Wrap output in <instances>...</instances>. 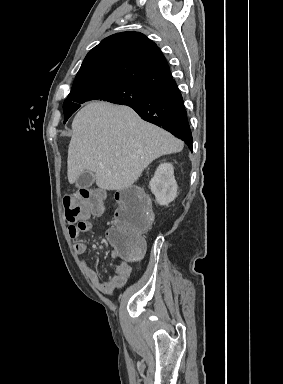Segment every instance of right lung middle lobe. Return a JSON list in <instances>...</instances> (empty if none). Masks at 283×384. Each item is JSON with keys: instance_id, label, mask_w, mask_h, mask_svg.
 Returning a JSON list of instances; mask_svg holds the SVG:
<instances>
[{"instance_id": "obj_1", "label": "right lung middle lobe", "mask_w": 283, "mask_h": 384, "mask_svg": "<svg viewBox=\"0 0 283 384\" xmlns=\"http://www.w3.org/2000/svg\"><path fill=\"white\" fill-rule=\"evenodd\" d=\"M149 90L126 83H101L87 87L71 89L64 101V123L81 106L90 100H103L115 104L137 103L150 95Z\"/></svg>"}]
</instances>
